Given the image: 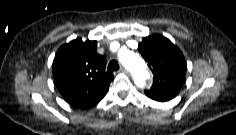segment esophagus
Returning a JSON list of instances; mask_svg holds the SVG:
<instances>
[{
	"instance_id": "obj_1",
	"label": "esophagus",
	"mask_w": 236,
	"mask_h": 135,
	"mask_svg": "<svg viewBox=\"0 0 236 135\" xmlns=\"http://www.w3.org/2000/svg\"><path fill=\"white\" fill-rule=\"evenodd\" d=\"M120 71L123 73H128V70L123 66H121Z\"/></svg>"
}]
</instances>
